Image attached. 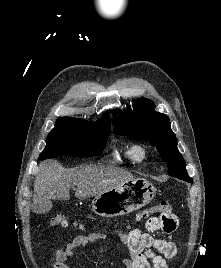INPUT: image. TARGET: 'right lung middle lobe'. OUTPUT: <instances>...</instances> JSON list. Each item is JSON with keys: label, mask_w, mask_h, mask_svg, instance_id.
I'll return each mask as SVG.
<instances>
[{"label": "right lung middle lobe", "mask_w": 221, "mask_h": 268, "mask_svg": "<svg viewBox=\"0 0 221 268\" xmlns=\"http://www.w3.org/2000/svg\"><path fill=\"white\" fill-rule=\"evenodd\" d=\"M110 130V127L91 124L81 119L61 117L48 135L46 147L39 159H48L62 154L99 155L107 143Z\"/></svg>", "instance_id": "right-lung-middle-lobe-1"}]
</instances>
